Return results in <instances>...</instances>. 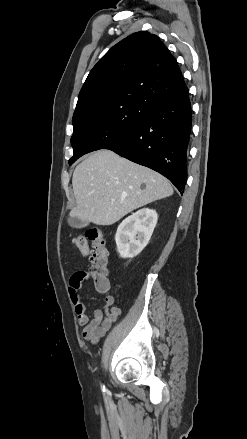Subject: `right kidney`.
<instances>
[{"label":"right kidney","instance_id":"1","mask_svg":"<svg viewBox=\"0 0 247 439\" xmlns=\"http://www.w3.org/2000/svg\"><path fill=\"white\" fill-rule=\"evenodd\" d=\"M158 215L155 210L143 208L128 216L118 226L115 241L122 258L137 256L148 244Z\"/></svg>","mask_w":247,"mask_h":439}]
</instances>
